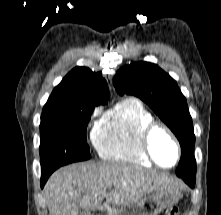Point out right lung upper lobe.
Here are the masks:
<instances>
[{
	"label": "right lung upper lobe",
	"mask_w": 221,
	"mask_h": 215,
	"mask_svg": "<svg viewBox=\"0 0 221 215\" xmlns=\"http://www.w3.org/2000/svg\"><path fill=\"white\" fill-rule=\"evenodd\" d=\"M110 97L107 83L87 67H75L56 86L45 105L101 104Z\"/></svg>",
	"instance_id": "1"
}]
</instances>
